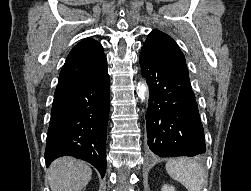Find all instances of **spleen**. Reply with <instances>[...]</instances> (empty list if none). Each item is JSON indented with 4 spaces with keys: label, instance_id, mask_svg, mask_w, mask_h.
<instances>
[{
    "label": "spleen",
    "instance_id": "spleen-1",
    "mask_svg": "<svg viewBox=\"0 0 251 191\" xmlns=\"http://www.w3.org/2000/svg\"><path fill=\"white\" fill-rule=\"evenodd\" d=\"M166 169L169 175L185 185L188 191H201L205 181V171L196 159H190V157L169 159Z\"/></svg>",
    "mask_w": 251,
    "mask_h": 191
}]
</instances>
